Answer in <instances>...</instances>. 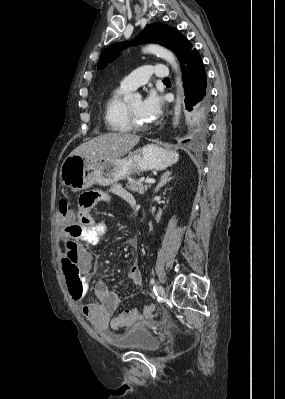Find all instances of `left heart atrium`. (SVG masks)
<instances>
[{
  "instance_id": "1",
  "label": "left heart atrium",
  "mask_w": 285,
  "mask_h": 399,
  "mask_svg": "<svg viewBox=\"0 0 285 399\" xmlns=\"http://www.w3.org/2000/svg\"><path fill=\"white\" fill-rule=\"evenodd\" d=\"M162 106V99L151 91L141 102V114L148 122L154 121L161 115Z\"/></svg>"
}]
</instances>
